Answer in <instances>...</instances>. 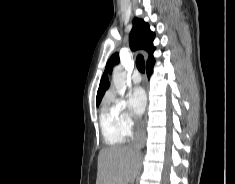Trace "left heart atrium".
Instances as JSON below:
<instances>
[{
	"label": "left heart atrium",
	"mask_w": 235,
	"mask_h": 184,
	"mask_svg": "<svg viewBox=\"0 0 235 184\" xmlns=\"http://www.w3.org/2000/svg\"><path fill=\"white\" fill-rule=\"evenodd\" d=\"M146 101V93L142 88L137 87L132 90L129 96V106L135 118L139 119L142 116L146 107Z\"/></svg>",
	"instance_id": "left-heart-atrium-1"
}]
</instances>
